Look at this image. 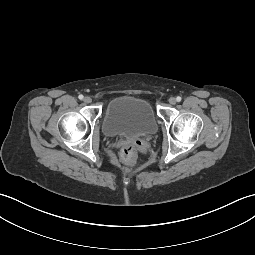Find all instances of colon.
Returning a JSON list of instances; mask_svg holds the SVG:
<instances>
[{
    "label": "colon",
    "mask_w": 255,
    "mask_h": 255,
    "mask_svg": "<svg viewBox=\"0 0 255 255\" xmlns=\"http://www.w3.org/2000/svg\"><path fill=\"white\" fill-rule=\"evenodd\" d=\"M138 151V142L127 141L124 142L120 147V156L124 164L132 166L136 162Z\"/></svg>",
    "instance_id": "colon-1"
}]
</instances>
